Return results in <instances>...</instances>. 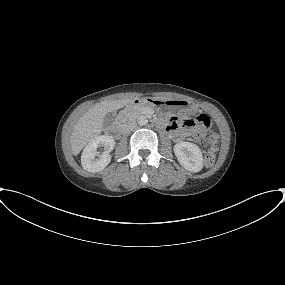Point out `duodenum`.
<instances>
[{
  "instance_id": "410a0bca",
  "label": "duodenum",
  "mask_w": 285,
  "mask_h": 285,
  "mask_svg": "<svg viewBox=\"0 0 285 285\" xmlns=\"http://www.w3.org/2000/svg\"><path fill=\"white\" fill-rule=\"evenodd\" d=\"M145 103L146 101L144 99H134L133 101L130 102V104L134 106H143ZM121 131L122 127L119 124H114L110 129V132L114 135H118Z\"/></svg>"
}]
</instances>
